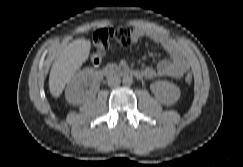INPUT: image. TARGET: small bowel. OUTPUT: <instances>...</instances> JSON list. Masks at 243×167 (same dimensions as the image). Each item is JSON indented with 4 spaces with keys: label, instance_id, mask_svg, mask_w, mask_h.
Returning <instances> with one entry per match:
<instances>
[{
    "label": "small bowel",
    "instance_id": "small-bowel-1",
    "mask_svg": "<svg viewBox=\"0 0 243 167\" xmlns=\"http://www.w3.org/2000/svg\"><path fill=\"white\" fill-rule=\"evenodd\" d=\"M143 38H148L158 44L169 56L168 59L159 61L155 67H145L142 70L145 78L170 77L178 79L189 69L185 52L170 37L154 29L136 27L133 31L134 41L137 42Z\"/></svg>",
    "mask_w": 243,
    "mask_h": 167
}]
</instances>
